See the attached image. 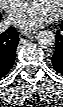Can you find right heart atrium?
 Wrapping results in <instances>:
<instances>
[{
    "label": "right heart atrium",
    "instance_id": "1",
    "mask_svg": "<svg viewBox=\"0 0 63 107\" xmlns=\"http://www.w3.org/2000/svg\"><path fill=\"white\" fill-rule=\"evenodd\" d=\"M18 4H19L18 0H4L3 1V6L7 10H11V9L15 8Z\"/></svg>",
    "mask_w": 63,
    "mask_h": 107
}]
</instances>
